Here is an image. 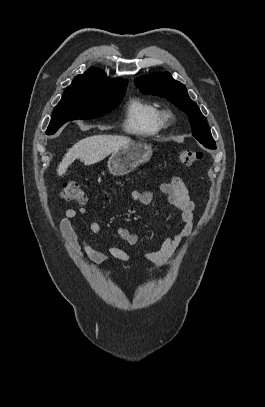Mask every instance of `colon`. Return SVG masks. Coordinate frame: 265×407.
Segmentation results:
<instances>
[{
	"instance_id": "5ec220e1",
	"label": "colon",
	"mask_w": 265,
	"mask_h": 407,
	"mask_svg": "<svg viewBox=\"0 0 265 407\" xmlns=\"http://www.w3.org/2000/svg\"><path fill=\"white\" fill-rule=\"evenodd\" d=\"M203 158V153L198 150L184 149L178 152V161L186 166H191ZM61 198L68 202L84 203L86 195L83 188L76 182H66L61 190Z\"/></svg>"
}]
</instances>
